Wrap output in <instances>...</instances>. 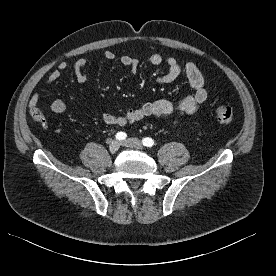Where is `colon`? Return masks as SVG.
Segmentation results:
<instances>
[{
	"instance_id": "1",
	"label": "colon",
	"mask_w": 276,
	"mask_h": 276,
	"mask_svg": "<svg viewBox=\"0 0 276 276\" xmlns=\"http://www.w3.org/2000/svg\"><path fill=\"white\" fill-rule=\"evenodd\" d=\"M215 116L221 123H231L234 118L233 108L222 100H216L214 105ZM31 117L35 122H41L44 119V113L39 107H33L30 111Z\"/></svg>"
}]
</instances>
